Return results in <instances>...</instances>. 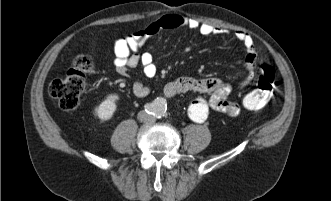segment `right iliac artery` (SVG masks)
<instances>
[{"label": "right iliac artery", "instance_id": "right-iliac-artery-1", "mask_svg": "<svg viewBox=\"0 0 331 201\" xmlns=\"http://www.w3.org/2000/svg\"><path fill=\"white\" fill-rule=\"evenodd\" d=\"M145 111L149 114H154L155 108L152 104H146L145 105Z\"/></svg>", "mask_w": 331, "mask_h": 201}]
</instances>
